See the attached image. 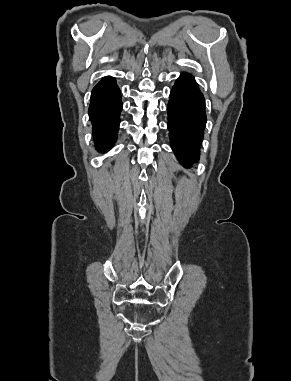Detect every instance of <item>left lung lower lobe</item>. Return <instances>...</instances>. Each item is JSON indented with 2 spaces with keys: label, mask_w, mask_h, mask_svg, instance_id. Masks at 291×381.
I'll use <instances>...</instances> for the list:
<instances>
[{
  "label": "left lung lower lobe",
  "mask_w": 291,
  "mask_h": 381,
  "mask_svg": "<svg viewBox=\"0 0 291 381\" xmlns=\"http://www.w3.org/2000/svg\"><path fill=\"white\" fill-rule=\"evenodd\" d=\"M206 125L205 99L192 75L182 73L176 80L168 103L171 147L186 167L199 160Z\"/></svg>",
  "instance_id": "1"
}]
</instances>
